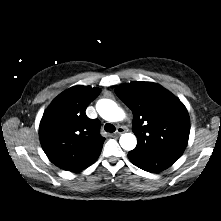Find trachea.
Wrapping results in <instances>:
<instances>
[{
	"mask_svg": "<svg viewBox=\"0 0 221 221\" xmlns=\"http://www.w3.org/2000/svg\"><path fill=\"white\" fill-rule=\"evenodd\" d=\"M104 129H105L106 132H110V133H113L116 130L115 126L110 124V123H107L104 126Z\"/></svg>",
	"mask_w": 221,
	"mask_h": 221,
	"instance_id": "obj_1",
	"label": "trachea"
}]
</instances>
